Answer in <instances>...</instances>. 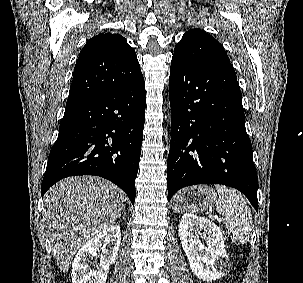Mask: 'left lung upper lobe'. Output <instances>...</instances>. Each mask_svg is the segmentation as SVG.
I'll return each mask as SVG.
<instances>
[{"instance_id":"left-lung-upper-lobe-1","label":"left lung upper lobe","mask_w":303,"mask_h":283,"mask_svg":"<svg viewBox=\"0 0 303 283\" xmlns=\"http://www.w3.org/2000/svg\"><path fill=\"white\" fill-rule=\"evenodd\" d=\"M173 58L188 63L230 62L222 45L201 29H190L176 45Z\"/></svg>"}]
</instances>
